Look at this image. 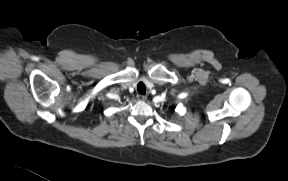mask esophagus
<instances>
[{
    "label": "esophagus",
    "mask_w": 288,
    "mask_h": 181,
    "mask_svg": "<svg viewBox=\"0 0 288 181\" xmlns=\"http://www.w3.org/2000/svg\"><path fill=\"white\" fill-rule=\"evenodd\" d=\"M137 99L140 100V101H145L147 99V96L143 95V94H138L137 95Z\"/></svg>",
    "instance_id": "34e87169"
}]
</instances>
